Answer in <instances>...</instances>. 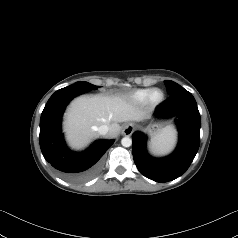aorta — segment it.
Returning a JSON list of instances; mask_svg holds the SVG:
<instances>
[{"mask_svg": "<svg viewBox=\"0 0 238 238\" xmlns=\"http://www.w3.org/2000/svg\"><path fill=\"white\" fill-rule=\"evenodd\" d=\"M121 144L123 147H130L132 145V139L130 137H124L121 140Z\"/></svg>", "mask_w": 238, "mask_h": 238, "instance_id": "obj_1", "label": "aorta"}]
</instances>
